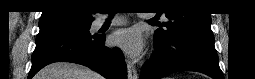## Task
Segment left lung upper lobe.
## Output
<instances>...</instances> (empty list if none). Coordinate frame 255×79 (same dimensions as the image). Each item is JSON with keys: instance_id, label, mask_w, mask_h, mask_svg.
Returning <instances> with one entry per match:
<instances>
[{"instance_id": "obj_1", "label": "left lung upper lobe", "mask_w": 255, "mask_h": 79, "mask_svg": "<svg viewBox=\"0 0 255 79\" xmlns=\"http://www.w3.org/2000/svg\"><path fill=\"white\" fill-rule=\"evenodd\" d=\"M159 7L166 10L169 22L163 23L167 30L155 31L154 40L158 43H167L185 32L212 33L210 14L201 11L181 12L179 3L172 0L159 1Z\"/></svg>"}]
</instances>
